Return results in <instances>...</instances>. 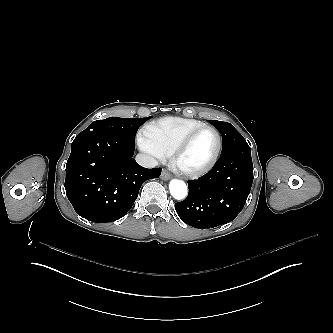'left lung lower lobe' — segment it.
<instances>
[{
	"mask_svg": "<svg viewBox=\"0 0 333 333\" xmlns=\"http://www.w3.org/2000/svg\"><path fill=\"white\" fill-rule=\"evenodd\" d=\"M253 182L251 150L247 143L221 153L214 167L188 181L187 198L175 204L180 219L195 228L226 224L241 212Z\"/></svg>",
	"mask_w": 333,
	"mask_h": 333,
	"instance_id": "left-lung-lower-lobe-1",
	"label": "left lung lower lobe"
}]
</instances>
